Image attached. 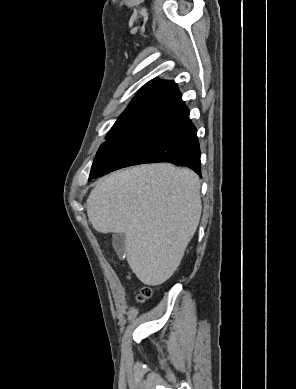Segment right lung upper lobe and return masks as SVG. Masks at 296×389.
<instances>
[{"instance_id": "cb5924a9", "label": "right lung upper lobe", "mask_w": 296, "mask_h": 389, "mask_svg": "<svg viewBox=\"0 0 296 389\" xmlns=\"http://www.w3.org/2000/svg\"><path fill=\"white\" fill-rule=\"evenodd\" d=\"M154 115L175 120L189 116V110L182 101L174 81L151 80L132 99L118 120Z\"/></svg>"}]
</instances>
